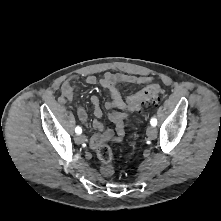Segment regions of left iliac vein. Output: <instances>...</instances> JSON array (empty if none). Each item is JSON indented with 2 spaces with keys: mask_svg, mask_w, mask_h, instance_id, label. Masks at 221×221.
<instances>
[{
  "mask_svg": "<svg viewBox=\"0 0 221 221\" xmlns=\"http://www.w3.org/2000/svg\"><path fill=\"white\" fill-rule=\"evenodd\" d=\"M146 134L149 139H155L157 136V129L154 126H149L147 128Z\"/></svg>",
  "mask_w": 221,
  "mask_h": 221,
  "instance_id": "left-iliac-vein-1",
  "label": "left iliac vein"
}]
</instances>
